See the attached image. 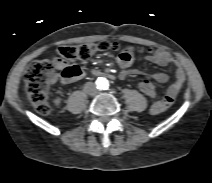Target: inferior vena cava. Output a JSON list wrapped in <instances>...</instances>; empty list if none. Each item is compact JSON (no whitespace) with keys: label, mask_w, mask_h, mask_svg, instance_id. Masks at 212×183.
<instances>
[{"label":"inferior vena cava","mask_w":212,"mask_h":183,"mask_svg":"<svg viewBox=\"0 0 212 183\" xmlns=\"http://www.w3.org/2000/svg\"><path fill=\"white\" fill-rule=\"evenodd\" d=\"M85 91L91 96H95L99 93V90L97 89L96 85L92 82H88L85 84Z\"/></svg>","instance_id":"obj_1"}]
</instances>
